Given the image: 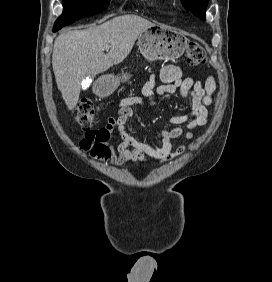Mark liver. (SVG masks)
I'll return each mask as SVG.
<instances>
[{
  "mask_svg": "<svg viewBox=\"0 0 272 282\" xmlns=\"http://www.w3.org/2000/svg\"><path fill=\"white\" fill-rule=\"evenodd\" d=\"M153 25L138 15L114 17L101 25L59 35L52 54L57 87L69 110L78 103L82 81L121 63L141 33ZM110 48L104 54V46Z\"/></svg>",
  "mask_w": 272,
  "mask_h": 282,
  "instance_id": "1",
  "label": "liver"
}]
</instances>
